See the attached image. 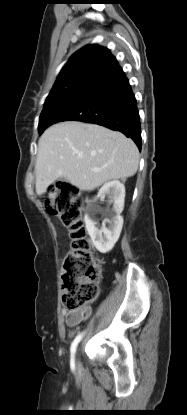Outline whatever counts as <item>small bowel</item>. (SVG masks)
<instances>
[{
  "mask_svg": "<svg viewBox=\"0 0 187 415\" xmlns=\"http://www.w3.org/2000/svg\"><path fill=\"white\" fill-rule=\"evenodd\" d=\"M90 313L91 309L89 306H84L83 308L76 311L63 310V314L66 317V322L71 327L76 326L83 320L87 319Z\"/></svg>",
  "mask_w": 187,
  "mask_h": 415,
  "instance_id": "obj_1",
  "label": "small bowel"
}]
</instances>
